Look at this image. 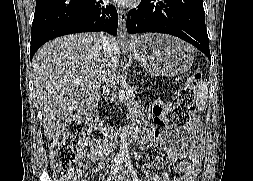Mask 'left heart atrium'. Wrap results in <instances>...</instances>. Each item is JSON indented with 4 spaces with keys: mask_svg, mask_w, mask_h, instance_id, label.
I'll return each mask as SVG.
<instances>
[{
    "mask_svg": "<svg viewBox=\"0 0 253 181\" xmlns=\"http://www.w3.org/2000/svg\"><path fill=\"white\" fill-rule=\"evenodd\" d=\"M113 1L123 6L130 5L133 2V0H113Z\"/></svg>",
    "mask_w": 253,
    "mask_h": 181,
    "instance_id": "obj_1",
    "label": "left heart atrium"
}]
</instances>
